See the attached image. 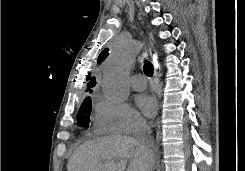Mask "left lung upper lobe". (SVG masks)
<instances>
[{
	"label": "left lung upper lobe",
	"instance_id": "left-lung-upper-lobe-1",
	"mask_svg": "<svg viewBox=\"0 0 245 171\" xmlns=\"http://www.w3.org/2000/svg\"><path fill=\"white\" fill-rule=\"evenodd\" d=\"M108 55V49L102 51V53L98 57V63L100 64Z\"/></svg>",
	"mask_w": 245,
	"mask_h": 171
}]
</instances>
